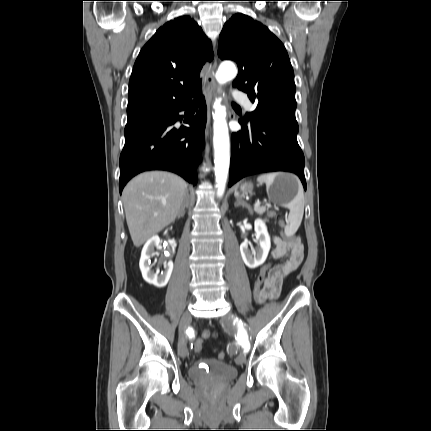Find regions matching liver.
<instances>
[{"mask_svg":"<svg viewBox=\"0 0 431 431\" xmlns=\"http://www.w3.org/2000/svg\"><path fill=\"white\" fill-rule=\"evenodd\" d=\"M188 184L179 176L150 171L124 188L122 200L134 246L139 247L179 216Z\"/></svg>","mask_w":431,"mask_h":431,"instance_id":"6515ba94","label":"liver"}]
</instances>
